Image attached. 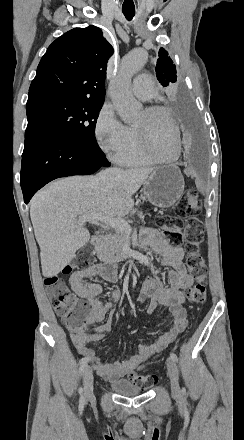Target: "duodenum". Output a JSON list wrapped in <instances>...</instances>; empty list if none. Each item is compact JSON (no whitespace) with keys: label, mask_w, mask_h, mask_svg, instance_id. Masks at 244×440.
Instances as JSON below:
<instances>
[{"label":"duodenum","mask_w":244,"mask_h":440,"mask_svg":"<svg viewBox=\"0 0 244 440\" xmlns=\"http://www.w3.org/2000/svg\"><path fill=\"white\" fill-rule=\"evenodd\" d=\"M104 242L105 240L102 235H95L92 238V244L97 248H102L104 246Z\"/></svg>","instance_id":"obj_1"}]
</instances>
